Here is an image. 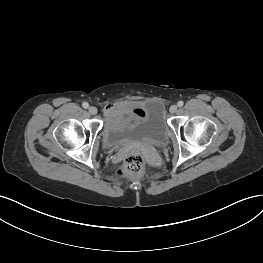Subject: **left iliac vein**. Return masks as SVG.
I'll return each mask as SVG.
<instances>
[{
  "mask_svg": "<svg viewBox=\"0 0 263 263\" xmlns=\"http://www.w3.org/2000/svg\"><path fill=\"white\" fill-rule=\"evenodd\" d=\"M177 109H178L177 105H172L169 110L171 113H176Z\"/></svg>",
  "mask_w": 263,
  "mask_h": 263,
  "instance_id": "left-iliac-vein-1",
  "label": "left iliac vein"
}]
</instances>
